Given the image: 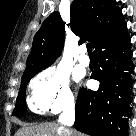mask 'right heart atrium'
<instances>
[{
  "label": "right heart atrium",
  "instance_id": "obj_1",
  "mask_svg": "<svg viewBox=\"0 0 136 136\" xmlns=\"http://www.w3.org/2000/svg\"><path fill=\"white\" fill-rule=\"evenodd\" d=\"M30 109L35 113H59L74 107L69 76L61 69L48 68L30 83Z\"/></svg>",
  "mask_w": 136,
  "mask_h": 136
}]
</instances>
